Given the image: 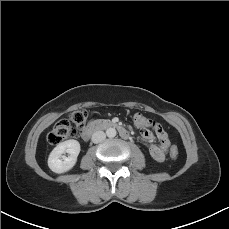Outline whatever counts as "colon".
I'll return each instance as SVG.
<instances>
[{
    "label": "colon",
    "mask_w": 229,
    "mask_h": 229,
    "mask_svg": "<svg viewBox=\"0 0 229 229\" xmlns=\"http://www.w3.org/2000/svg\"><path fill=\"white\" fill-rule=\"evenodd\" d=\"M87 112L85 110L79 109L72 111L69 114L67 120H61L55 124L48 136V142L53 145L60 144L66 139L74 138L77 134V128L82 127L86 121ZM134 122L138 127H143L147 123L152 124L156 127L158 124H154L151 120L145 119L141 115H136ZM169 155L171 159L176 160L179 156V150L177 146H171L169 150Z\"/></svg>",
    "instance_id": "obj_1"
}]
</instances>
